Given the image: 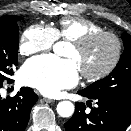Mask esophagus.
<instances>
[{"label": "esophagus", "mask_w": 131, "mask_h": 131, "mask_svg": "<svg viewBox=\"0 0 131 131\" xmlns=\"http://www.w3.org/2000/svg\"><path fill=\"white\" fill-rule=\"evenodd\" d=\"M43 101L46 103H53L54 102V100L50 99V98H43Z\"/></svg>", "instance_id": "34e87169"}]
</instances>
